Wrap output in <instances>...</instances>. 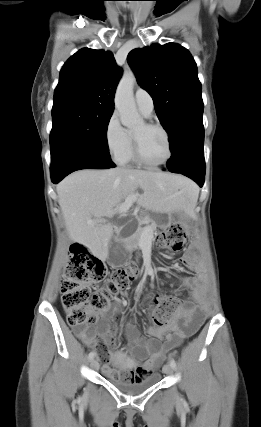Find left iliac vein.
Masks as SVG:
<instances>
[{"mask_svg":"<svg viewBox=\"0 0 261 427\" xmlns=\"http://www.w3.org/2000/svg\"><path fill=\"white\" fill-rule=\"evenodd\" d=\"M163 372L167 375H171L173 373V368L171 367V365L166 364L163 366Z\"/></svg>","mask_w":261,"mask_h":427,"instance_id":"obj_1","label":"left iliac vein"}]
</instances>
